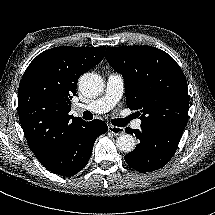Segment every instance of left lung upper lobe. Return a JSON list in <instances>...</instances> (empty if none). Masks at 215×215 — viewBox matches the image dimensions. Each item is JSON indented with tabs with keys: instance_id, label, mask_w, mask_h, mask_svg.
<instances>
[{
	"instance_id": "obj_1",
	"label": "left lung upper lobe",
	"mask_w": 215,
	"mask_h": 215,
	"mask_svg": "<svg viewBox=\"0 0 215 215\" xmlns=\"http://www.w3.org/2000/svg\"><path fill=\"white\" fill-rule=\"evenodd\" d=\"M106 59L124 78L127 106L141 110V126L185 128L187 81L169 54L151 46H107Z\"/></svg>"
}]
</instances>
